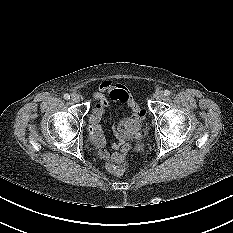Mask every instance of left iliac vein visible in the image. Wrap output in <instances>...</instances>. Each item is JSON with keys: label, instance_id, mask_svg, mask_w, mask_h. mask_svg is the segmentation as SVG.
Here are the masks:
<instances>
[{"label": "left iliac vein", "instance_id": "left-iliac-vein-1", "mask_svg": "<svg viewBox=\"0 0 233 233\" xmlns=\"http://www.w3.org/2000/svg\"><path fill=\"white\" fill-rule=\"evenodd\" d=\"M164 98V94L162 91H158L154 94V99L155 100H162Z\"/></svg>", "mask_w": 233, "mask_h": 233}]
</instances>
